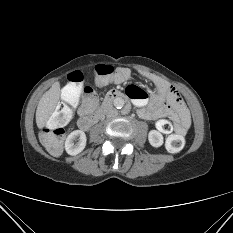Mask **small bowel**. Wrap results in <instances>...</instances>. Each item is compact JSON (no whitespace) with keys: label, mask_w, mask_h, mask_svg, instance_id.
<instances>
[{"label":"small bowel","mask_w":233,"mask_h":233,"mask_svg":"<svg viewBox=\"0 0 233 233\" xmlns=\"http://www.w3.org/2000/svg\"><path fill=\"white\" fill-rule=\"evenodd\" d=\"M131 70L118 68L114 76V82L122 84L131 78ZM155 86V92L151 96L137 86H129L127 94L137 107L139 117L149 121H155L158 131L164 134H185L190 126V113L178 90L153 74H142ZM96 105V98H84L79 115L87 116Z\"/></svg>","instance_id":"obj_1"}]
</instances>
